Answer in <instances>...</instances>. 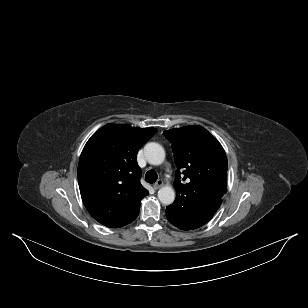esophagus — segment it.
Returning <instances> with one entry per match:
<instances>
[{
  "mask_svg": "<svg viewBox=\"0 0 308 308\" xmlns=\"http://www.w3.org/2000/svg\"><path fill=\"white\" fill-rule=\"evenodd\" d=\"M163 185V181L162 180H158L155 184H153V188L155 190L159 189L160 187H162Z\"/></svg>",
  "mask_w": 308,
  "mask_h": 308,
  "instance_id": "esophagus-1",
  "label": "esophagus"
}]
</instances>
